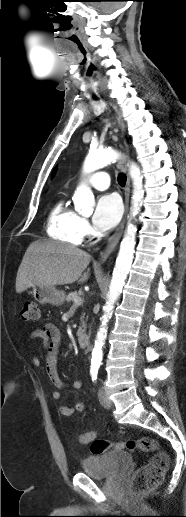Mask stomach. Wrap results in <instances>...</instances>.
Instances as JSON below:
<instances>
[{"mask_svg":"<svg viewBox=\"0 0 186 517\" xmlns=\"http://www.w3.org/2000/svg\"><path fill=\"white\" fill-rule=\"evenodd\" d=\"M33 296L36 301L41 304L61 305L65 300V293L57 290L54 286H35L33 287Z\"/></svg>","mask_w":186,"mask_h":517,"instance_id":"stomach-1","label":"stomach"}]
</instances>
